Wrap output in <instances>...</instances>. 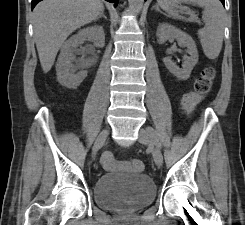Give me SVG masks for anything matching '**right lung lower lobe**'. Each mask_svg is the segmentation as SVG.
Masks as SVG:
<instances>
[{"label": "right lung lower lobe", "mask_w": 245, "mask_h": 225, "mask_svg": "<svg viewBox=\"0 0 245 225\" xmlns=\"http://www.w3.org/2000/svg\"><path fill=\"white\" fill-rule=\"evenodd\" d=\"M40 1H41V0H32V9H33V8L36 6V4H37L38 2H40ZM106 1L111 2V3H115V6H117L119 0H106Z\"/></svg>", "instance_id": "1"}]
</instances>
